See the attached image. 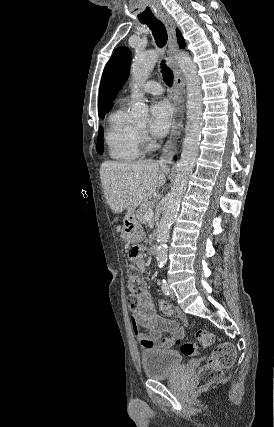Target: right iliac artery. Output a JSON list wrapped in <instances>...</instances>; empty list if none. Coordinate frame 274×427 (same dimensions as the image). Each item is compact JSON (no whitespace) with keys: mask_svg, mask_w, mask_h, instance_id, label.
Wrapping results in <instances>:
<instances>
[{"mask_svg":"<svg viewBox=\"0 0 274 427\" xmlns=\"http://www.w3.org/2000/svg\"><path fill=\"white\" fill-rule=\"evenodd\" d=\"M161 289L166 296L170 295L169 285L167 284V282L165 280H163V282L161 284Z\"/></svg>","mask_w":274,"mask_h":427,"instance_id":"1","label":"right iliac artery"}]
</instances>
